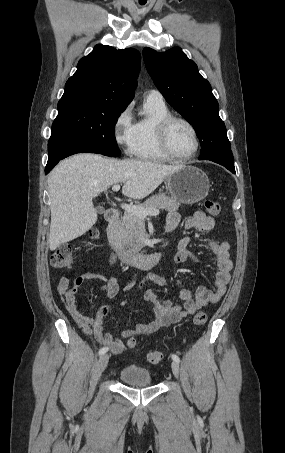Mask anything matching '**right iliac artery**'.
Segmentation results:
<instances>
[{"label":"right iliac artery","instance_id":"right-iliac-artery-1","mask_svg":"<svg viewBox=\"0 0 285 453\" xmlns=\"http://www.w3.org/2000/svg\"><path fill=\"white\" fill-rule=\"evenodd\" d=\"M107 351H108V349L103 347L99 350V355H102V354L106 353Z\"/></svg>","mask_w":285,"mask_h":453}]
</instances>
